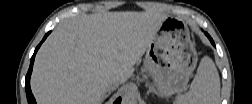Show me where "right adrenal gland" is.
<instances>
[{"label":"right adrenal gland","mask_w":252,"mask_h":104,"mask_svg":"<svg viewBox=\"0 0 252 104\" xmlns=\"http://www.w3.org/2000/svg\"><path fill=\"white\" fill-rule=\"evenodd\" d=\"M110 94H111L110 92H109L108 94H106L104 100H105L106 98H108Z\"/></svg>","instance_id":"obj_1"}]
</instances>
